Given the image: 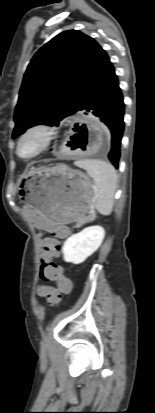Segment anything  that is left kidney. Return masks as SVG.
<instances>
[{
  "label": "left kidney",
  "instance_id": "5707ae66",
  "mask_svg": "<svg viewBox=\"0 0 155 413\" xmlns=\"http://www.w3.org/2000/svg\"><path fill=\"white\" fill-rule=\"evenodd\" d=\"M104 236L101 226H90L70 236L63 245L64 260L74 264L84 262L100 247Z\"/></svg>",
  "mask_w": 155,
  "mask_h": 413
}]
</instances>
